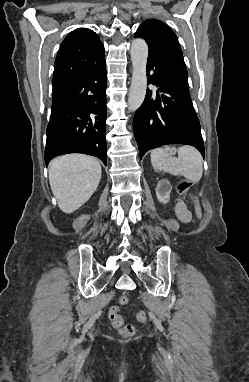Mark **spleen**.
Masks as SVG:
<instances>
[{"mask_svg":"<svg viewBox=\"0 0 249 382\" xmlns=\"http://www.w3.org/2000/svg\"><path fill=\"white\" fill-rule=\"evenodd\" d=\"M175 147L156 148L151 151V163L155 170L172 175H182L192 182H197L203 174V158L200 152L192 146L179 148L178 157L171 155Z\"/></svg>","mask_w":249,"mask_h":382,"instance_id":"1","label":"spleen"}]
</instances>
